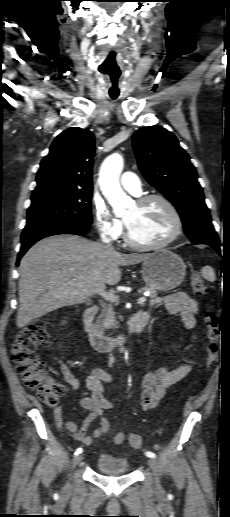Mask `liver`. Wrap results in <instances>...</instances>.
<instances>
[{
    "instance_id": "liver-1",
    "label": "liver",
    "mask_w": 230,
    "mask_h": 517,
    "mask_svg": "<svg viewBox=\"0 0 230 517\" xmlns=\"http://www.w3.org/2000/svg\"><path fill=\"white\" fill-rule=\"evenodd\" d=\"M148 254H122L113 247L78 236L40 240L23 256L19 272L16 325L58 308L81 304L121 280L119 266L144 262ZM75 280L73 284H70Z\"/></svg>"
}]
</instances>
